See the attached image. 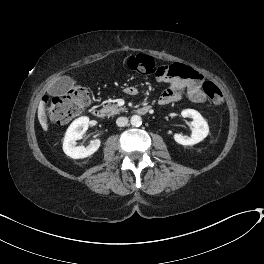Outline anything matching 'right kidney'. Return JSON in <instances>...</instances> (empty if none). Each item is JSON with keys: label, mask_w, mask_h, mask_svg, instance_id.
Here are the masks:
<instances>
[{"label": "right kidney", "mask_w": 264, "mask_h": 264, "mask_svg": "<svg viewBox=\"0 0 264 264\" xmlns=\"http://www.w3.org/2000/svg\"><path fill=\"white\" fill-rule=\"evenodd\" d=\"M88 126L89 118L84 116L74 120L68 127L63 142V151L67 156L73 159H82L92 155L98 150L101 144L99 139L92 140L86 147L75 146L76 141L82 138Z\"/></svg>", "instance_id": "obj_1"}]
</instances>
